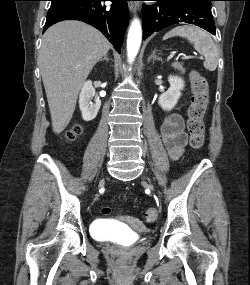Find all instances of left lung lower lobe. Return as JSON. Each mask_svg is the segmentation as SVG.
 Returning <instances> with one entry per match:
<instances>
[{"mask_svg":"<svg viewBox=\"0 0 250 285\" xmlns=\"http://www.w3.org/2000/svg\"><path fill=\"white\" fill-rule=\"evenodd\" d=\"M143 5V39L181 22L197 25L216 35L211 4L201 0H152Z\"/></svg>","mask_w":250,"mask_h":285,"instance_id":"obj_1","label":"left lung lower lobe"}]
</instances>
